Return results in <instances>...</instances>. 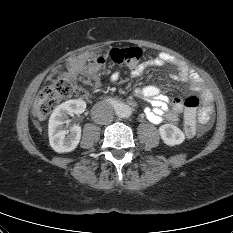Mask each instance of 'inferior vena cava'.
<instances>
[{
  "label": "inferior vena cava",
  "mask_w": 233,
  "mask_h": 233,
  "mask_svg": "<svg viewBox=\"0 0 233 233\" xmlns=\"http://www.w3.org/2000/svg\"><path fill=\"white\" fill-rule=\"evenodd\" d=\"M93 120L98 124H110L113 121V109L104 102L97 103L92 111Z\"/></svg>",
  "instance_id": "1"
}]
</instances>
